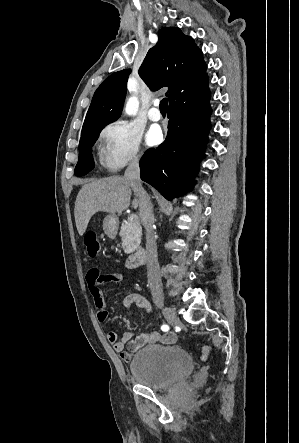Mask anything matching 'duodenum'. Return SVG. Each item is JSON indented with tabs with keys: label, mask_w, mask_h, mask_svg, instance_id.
<instances>
[{
	"label": "duodenum",
	"mask_w": 299,
	"mask_h": 443,
	"mask_svg": "<svg viewBox=\"0 0 299 443\" xmlns=\"http://www.w3.org/2000/svg\"><path fill=\"white\" fill-rule=\"evenodd\" d=\"M145 260L146 252L143 248H139L125 259L124 266L130 269L136 268L145 263Z\"/></svg>",
	"instance_id": "obj_1"
}]
</instances>
